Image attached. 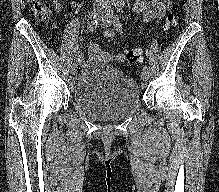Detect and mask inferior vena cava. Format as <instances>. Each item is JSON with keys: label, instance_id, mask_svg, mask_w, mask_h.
<instances>
[{"label": "inferior vena cava", "instance_id": "602c4592", "mask_svg": "<svg viewBox=\"0 0 219 192\" xmlns=\"http://www.w3.org/2000/svg\"><path fill=\"white\" fill-rule=\"evenodd\" d=\"M94 2L102 6L104 9L109 8V0H94Z\"/></svg>", "mask_w": 219, "mask_h": 192}]
</instances>
